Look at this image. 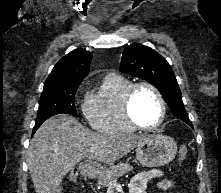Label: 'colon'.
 <instances>
[{"label": "colon", "instance_id": "5ec220e1", "mask_svg": "<svg viewBox=\"0 0 221 193\" xmlns=\"http://www.w3.org/2000/svg\"><path fill=\"white\" fill-rule=\"evenodd\" d=\"M186 155H187V148L185 146H182L179 151L178 160L180 162L183 161L185 159ZM71 177H72V179H75L76 175L72 174Z\"/></svg>", "mask_w": 221, "mask_h": 193}]
</instances>
